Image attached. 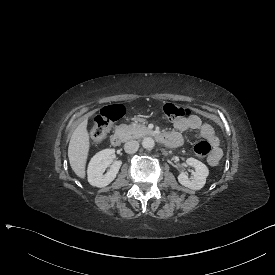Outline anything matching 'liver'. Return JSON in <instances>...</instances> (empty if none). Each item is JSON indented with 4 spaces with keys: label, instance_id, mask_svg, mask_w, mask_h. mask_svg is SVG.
<instances>
[{
    "label": "liver",
    "instance_id": "liver-1",
    "mask_svg": "<svg viewBox=\"0 0 275 275\" xmlns=\"http://www.w3.org/2000/svg\"><path fill=\"white\" fill-rule=\"evenodd\" d=\"M87 125L88 119H84L75 128L68 146L70 167L75 175L81 179H86V164L90 150V136Z\"/></svg>",
    "mask_w": 275,
    "mask_h": 275
}]
</instances>
